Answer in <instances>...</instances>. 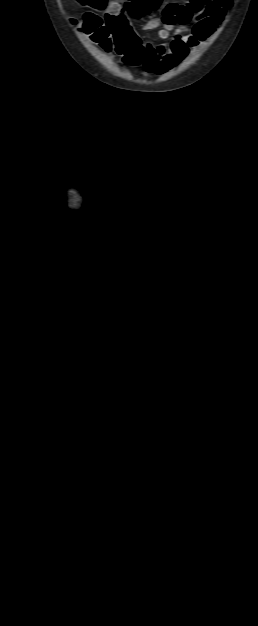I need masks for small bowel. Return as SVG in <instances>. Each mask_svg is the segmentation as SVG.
I'll return each instance as SVG.
<instances>
[{
	"label": "small bowel",
	"instance_id": "c3829d8e",
	"mask_svg": "<svg viewBox=\"0 0 258 626\" xmlns=\"http://www.w3.org/2000/svg\"><path fill=\"white\" fill-rule=\"evenodd\" d=\"M232 6V0H191L189 4L168 3L160 19L149 21L146 29H157L161 40L174 35L170 42L143 43L130 29L119 4L106 12L102 27L106 31V49L113 48L127 64L142 65L146 72L161 75L184 60L190 50L207 40ZM181 27L176 29V25ZM190 25V26H187Z\"/></svg>",
	"mask_w": 258,
	"mask_h": 626
}]
</instances>
